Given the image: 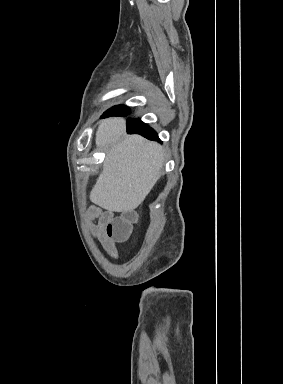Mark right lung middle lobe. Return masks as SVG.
<instances>
[{
    "instance_id": "1",
    "label": "right lung middle lobe",
    "mask_w": 283,
    "mask_h": 384,
    "mask_svg": "<svg viewBox=\"0 0 283 384\" xmlns=\"http://www.w3.org/2000/svg\"><path fill=\"white\" fill-rule=\"evenodd\" d=\"M114 107H125V106H123V105H119V106H114Z\"/></svg>"
}]
</instances>
